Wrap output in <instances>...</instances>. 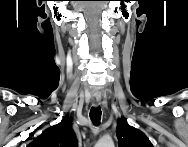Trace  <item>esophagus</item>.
Masks as SVG:
<instances>
[{"label": "esophagus", "instance_id": "esophagus-1", "mask_svg": "<svg viewBox=\"0 0 188 147\" xmlns=\"http://www.w3.org/2000/svg\"><path fill=\"white\" fill-rule=\"evenodd\" d=\"M92 100H93V105L97 107L101 103V96L94 95Z\"/></svg>", "mask_w": 188, "mask_h": 147}]
</instances>
